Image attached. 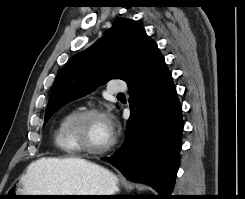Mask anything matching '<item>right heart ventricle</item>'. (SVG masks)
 <instances>
[{
	"mask_svg": "<svg viewBox=\"0 0 245 199\" xmlns=\"http://www.w3.org/2000/svg\"><path fill=\"white\" fill-rule=\"evenodd\" d=\"M76 111L72 110L66 113L54 130V142L56 147L61 150L66 156H75L78 150L74 147L73 142L68 134V125L70 120L75 115Z\"/></svg>",
	"mask_w": 245,
	"mask_h": 199,
	"instance_id": "1",
	"label": "right heart ventricle"
}]
</instances>
